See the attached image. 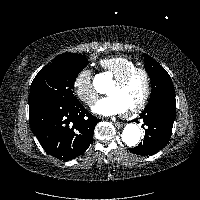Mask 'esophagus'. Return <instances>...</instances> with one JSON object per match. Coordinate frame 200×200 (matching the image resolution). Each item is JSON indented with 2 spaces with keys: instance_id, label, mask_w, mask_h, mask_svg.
I'll list each match as a JSON object with an SVG mask.
<instances>
[{
  "instance_id": "obj_1",
  "label": "esophagus",
  "mask_w": 200,
  "mask_h": 200,
  "mask_svg": "<svg viewBox=\"0 0 200 200\" xmlns=\"http://www.w3.org/2000/svg\"><path fill=\"white\" fill-rule=\"evenodd\" d=\"M115 126L117 127H122L124 124L121 122H114Z\"/></svg>"
}]
</instances>
